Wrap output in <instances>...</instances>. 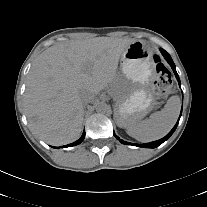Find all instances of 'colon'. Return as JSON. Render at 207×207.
Returning a JSON list of instances; mask_svg holds the SVG:
<instances>
[{
    "mask_svg": "<svg viewBox=\"0 0 207 207\" xmlns=\"http://www.w3.org/2000/svg\"><path fill=\"white\" fill-rule=\"evenodd\" d=\"M154 63L157 71V78L154 82L155 94L159 97H166L172 86L171 74L159 56H154Z\"/></svg>",
    "mask_w": 207,
    "mask_h": 207,
    "instance_id": "colon-1",
    "label": "colon"
}]
</instances>
